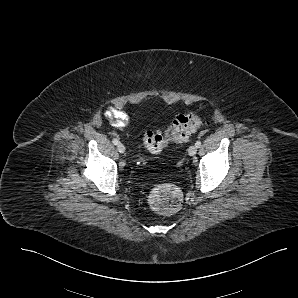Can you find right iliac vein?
Segmentation results:
<instances>
[{"label":"right iliac vein","instance_id":"right-iliac-vein-1","mask_svg":"<svg viewBox=\"0 0 298 298\" xmlns=\"http://www.w3.org/2000/svg\"><path fill=\"white\" fill-rule=\"evenodd\" d=\"M117 149H118V152L121 154L125 153V150H126L125 146L121 143L117 145Z\"/></svg>","mask_w":298,"mask_h":298}]
</instances>
